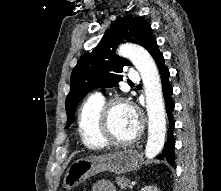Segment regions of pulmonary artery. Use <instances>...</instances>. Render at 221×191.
<instances>
[{
    "label": "pulmonary artery",
    "instance_id": "e3ab8cb5",
    "mask_svg": "<svg viewBox=\"0 0 221 191\" xmlns=\"http://www.w3.org/2000/svg\"><path fill=\"white\" fill-rule=\"evenodd\" d=\"M127 77H128V79L131 80V81H138L139 78H140V75H139V73H138L137 71H129V72L127 73ZM95 95H97V96H99V97H103V96H102L101 94H99V93H97V94H95Z\"/></svg>",
    "mask_w": 221,
    "mask_h": 191
}]
</instances>
